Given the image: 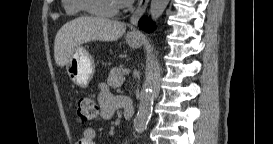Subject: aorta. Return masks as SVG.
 Returning a JSON list of instances; mask_svg holds the SVG:
<instances>
[{
	"label": "aorta",
	"mask_w": 273,
	"mask_h": 144,
	"mask_svg": "<svg viewBox=\"0 0 273 144\" xmlns=\"http://www.w3.org/2000/svg\"><path fill=\"white\" fill-rule=\"evenodd\" d=\"M169 0H151L150 16L154 22H157L162 13L166 9ZM153 80L150 73L146 74L140 92V103L136 118L134 119V128L137 133H143L148 125L152 113L153 106Z\"/></svg>",
	"instance_id": "aorta-1"
}]
</instances>
